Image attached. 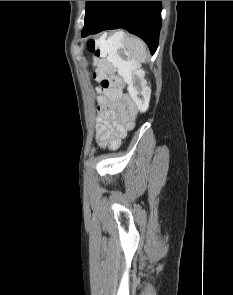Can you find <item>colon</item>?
Segmentation results:
<instances>
[{"mask_svg":"<svg viewBox=\"0 0 233 295\" xmlns=\"http://www.w3.org/2000/svg\"><path fill=\"white\" fill-rule=\"evenodd\" d=\"M97 58L94 72L102 94H118L128 85L129 93L140 111L148 108L150 87L138 62L125 46L123 33L103 35L87 44Z\"/></svg>","mask_w":233,"mask_h":295,"instance_id":"obj_1","label":"colon"}]
</instances>
